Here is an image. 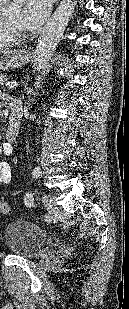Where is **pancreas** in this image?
I'll return each instance as SVG.
<instances>
[{
	"instance_id": "obj_1",
	"label": "pancreas",
	"mask_w": 129,
	"mask_h": 309,
	"mask_svg": "<svg viewBox=\"0 0 129 309\" xmlns=\"http://www.w3.org/2000/svg\"><path fill=\"white\" fill-rule=\"evenodd\" d=\"M7 81V76L0 73V85H3Z\"/></svg>"
}]
</instances>
